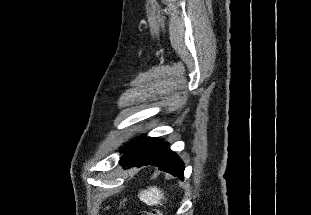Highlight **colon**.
Here are the masks:
<instances>
[{"mask_svg":"<svg viewBox=\"0 0 311 215\" xmlns=\"http://www.w3.org/2000/svg\"><path fill=\"white\" fill-rule=\"evenodd\" d=\"M137 215H163V214L157 210H153V211H140L137 213Z\"/></svg>","mask_w":311,"mask_h":215,"instance_id":"colon-1","label":"colon"}]
</instances>
